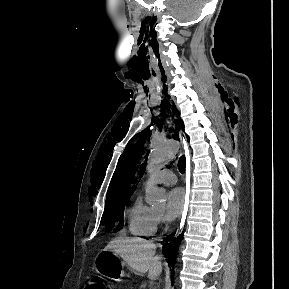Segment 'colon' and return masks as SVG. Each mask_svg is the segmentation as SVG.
<instances>
[{"instance_id": "5ec220e1", "label": "colon", "mask_w": 289, "mask_h": 289, "mask_svg": "<svg viewBox=\"0 0 289 289\" xmlns=\"http://www.w3.org/2000/svg\"><path fill=\"white\" fill-rule=\"evenodd\" d=\"M105 283L98 277L91 278L86 285V289H105Z\"/></svg>"}]
</instances>
